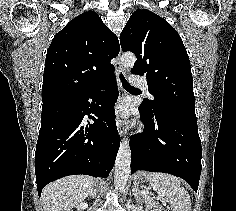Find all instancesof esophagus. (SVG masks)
Masks as SVG:
<instances>
[{
	"instance_id": "obj_1",
	"label": "esophagus",
	"mask_w": 236,
	"mask_h": 211,
	"mask_svg": "<svg viewBox=\"0 0 236 211\" xmlns=\"http://www.w3.org/2000/svg\"><path fill=\"white\" fill-rule=\"evenodd\" d=\"M120 57H121V50H120V52L117 56V64H116V76H117V83H118V87H119L118 102L122 99V96H123L122 84H121V80H120V74L124 72V68L121 65ZM116 125H117L118 133L122 137L126 130L122 126V122H121V120L118 116L116 117Z\"/></svg>"
}]
</instances>
